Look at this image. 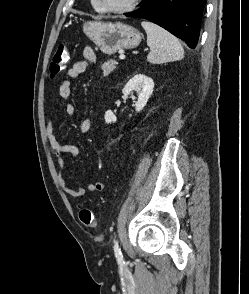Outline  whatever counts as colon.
Masks as SVG:
<instances>
[{"mask_svg":"<svg viewBox=\"0 0 249 294\" xmlns=\"http://www.w3.org/2000/svg\"><path fill=\"white\" fill-rule=\"evenodd\" d=\"M69 59V49L67 45L61 44L57 47L50 64V74L55 77L59 75L66 67ZM80 222L86 227H95L96 218L93 211L89 208L79 210Z\"/></svg>","mask_w":249,"mask_h":294,"instance_id":"1","label":"colon"}]
</instances>
